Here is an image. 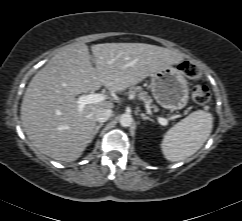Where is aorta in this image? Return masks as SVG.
<instances>
[{
    "instance_id": "762f6f07",
    "label": "aorta",
    "mask_w": 242,
    "mask_h": 221,
    "mask_svg": "<svg viewBox=\"0 0 242 221\" xmlns=\"http://www.w3.org/2000/svg\"><path fill=\"white\" fill-rule=\"evenodd\" d=\"M120 125L123 127H129L133 123V118L130 114H122L119 118Z\"/></svg>"
}]
</instances>
